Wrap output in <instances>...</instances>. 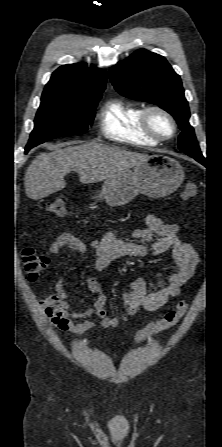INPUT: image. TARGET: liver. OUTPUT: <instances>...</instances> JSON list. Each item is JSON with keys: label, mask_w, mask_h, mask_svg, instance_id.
<instances>
[{"label": "liver", "mask_w": 222, "mask_h": 447, "mask_svg": "<svg viewBox=\"0 0 222 447\" xmlns=\"http://www.w3.org/2000/svg\"><path fill=\"white\" fill-rule=\"evenodd\" d=\"M148 157L95 142L56 148L32 161L25 173V192L40 200L65 188L64 177L71 171L78 173L81 183H95L130 170Z\"/></svg>", "instance_id": "liver-1"}]
</instances>
